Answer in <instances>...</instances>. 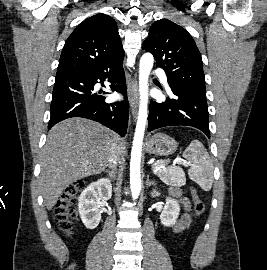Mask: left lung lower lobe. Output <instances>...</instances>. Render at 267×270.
I'll use <instances>...</instances> for the list:
<instances>
[{"label":"left lung lower lobe","instance_id":"obj_1","mask_svg":"<svg viewBox=\"0 0 267 270\" xmlns=\"http://www.w3.org/2000/svg\"><path fill=\"white\" fill-rule=\"evenodd\" d=\"M171 90L173 98H167L163 103L151 102L148 131L166 126H192L210 138L206 98L183 90Z\"/></svg>","mask_w":267,"mask_h":270}]
</instances>
